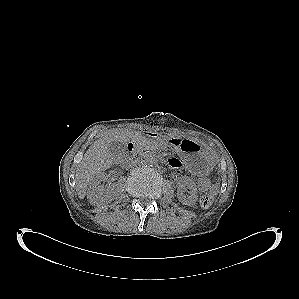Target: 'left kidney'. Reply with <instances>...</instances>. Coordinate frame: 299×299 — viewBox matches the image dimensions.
I'll return each instance as SVG.
<instances>
[{
	"label": "left kidney",
	"instance_id": "left-kidney-1",
	"mask_svg": "<svg viewBox=\"0 0 299 299\" xmlns=\"http://www.w3.org/2000/svg\"><path fill=\"white\" fill-rule=\"evenodd\" d=\"M189 189V195L186 196L184 191ZM177 197L179 201L185 205L192 206L197 201V188L195 182L190 177H182L179 180L177 189Z\"/></svg>",
	"mask_w": 299,
	"mask_h": 299
}]
</instances>
